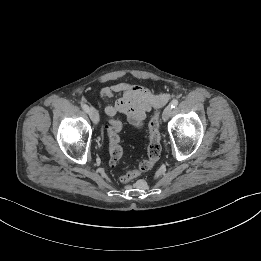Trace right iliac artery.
<instances>
[{"mask_svg": "<svg viewBox=\"0 0 261 261\" xmlns=\"http://www.w3.org/2000/svg\"><path fill=\"white\" fill-rule=\"evenodd\" d=\"M81 107H82V109L85 111V112H89V107H88V105H86L85 103H81Z\"/></svg>", "mask_w": 261, "mask_h": 261, "instance_id": "right-iliac-artery-1", "label": "right iliac artery"}]
</instances>
